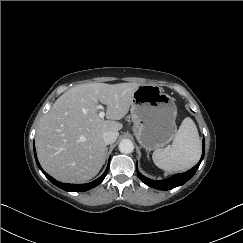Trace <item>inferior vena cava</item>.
I'll use <instances>...</instances> for the list:
<instances>
[{
	"mask_svg": "<svg viewBox=\"0 0 243 243\" xmlns=\"http://www.w3.org/2000/svg\"><path fill=\"white\" fill-rule=\"evenodd\" d=\"M118 133L115 131H108L103 134V141L105 144L109 145L116 141Z\"/></svg>",
	"mask_w": 243,
	"mask_h": 243,
	"instance_id": "inferior-vena-cava-1",
	"label": "inferior vena cava"
}]
</instances>
